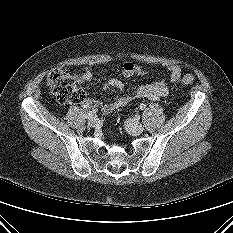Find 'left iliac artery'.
Returning <instances> with one entry per match:
<instances>
[{"instance_id": "44dca946", "label": "left iliac artery", "mask_w": 233, "mask_h": 233, "mask_svg": "<svg viewBox=\"0 0 233 233\" xmlns=\"http://www.w3.org/2000/svg\"><path fill=\"white\" fill-rule=\"evenodd\" d=\"M139 108H140V110H144L146 108V105L145 104H140Z\"/></svg>"}]
</instances>
